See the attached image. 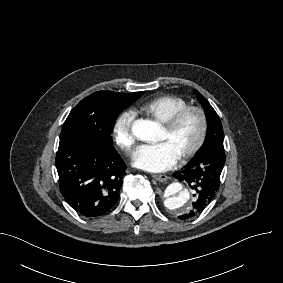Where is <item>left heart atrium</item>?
<instances>
[{"instance_id": "obj_1", "label": "left heart atrium", "mask_w": 283, "mask_h": 283, "mask_svg": "<svg viewBox=\"0 0 283 283\" xmlns=\"http://www.w3.org/2000/svg\"><path fill=\"white\" fill-rule=\"evenodd\" d=\"M180 155L166 142L140 145L132 154V165L140 170L159 173L172 168Z\"/></svg>"}]
</instances>
